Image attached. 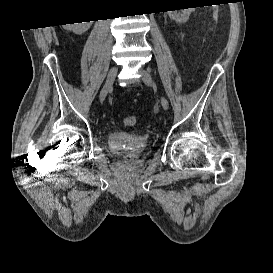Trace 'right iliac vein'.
<instances>
[{"instance_id": "obj_1", "label": "right iliac vein", "mask_w": 273, "mask_h": 273, "mask_svg": "<svg viewBox=\"0 0 273 273\" xmlns=\"http://www.w3.org/2000/svg\"><path fill=\"white\" fill-rule=\"evenodd\" d=\"M118 72V68L116 66H113L107 75V79L106 82L102 88V90L100 91V95H99V100L103 101L105 99V97L107 96L108 92L110 91V89L112 88L116 75Z\"/></svg>"}]
</instances>
